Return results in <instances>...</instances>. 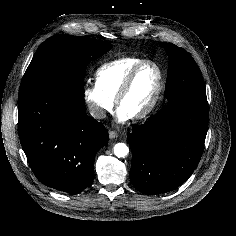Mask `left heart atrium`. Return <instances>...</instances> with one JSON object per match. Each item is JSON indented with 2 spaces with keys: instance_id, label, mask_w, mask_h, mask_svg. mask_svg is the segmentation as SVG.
Masks as SVG:
<instances>
[{
  "instance_id": "left-heart-atrium-1",
  "label": "left heart atrium",
  "mask_w": 236,
  "mask_h": 236,
  "mask_svg": "<svg viewBox=\"0 0 236 236\" xmlns=\"http://www.w3.org/2000/svg\"><path fill=\"white\" fill-rule=\"evenodd\" d=\"M130 117L121 109L117 111V119L120 123L126 122Z\"/></svg>"
}]
</instances>
